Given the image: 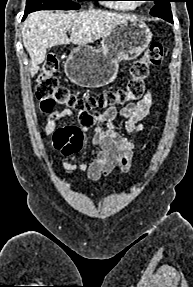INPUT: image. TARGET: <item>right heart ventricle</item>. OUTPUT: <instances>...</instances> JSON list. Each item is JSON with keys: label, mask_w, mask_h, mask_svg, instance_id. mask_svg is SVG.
Masks as SVG:
<instances>
[{"label": "right heart ventricle", "mask_w": 193, "mask_h": 287, "mask_svg": "<svg viewBox=\"0 0 193 287\" xmlns=\"http://www.w3.org/2000/svg\"><path fill=\"white\" fill-rule=\"evenodd\" d=\"M109 6L113 9L121 10V11H129L133 9V5L129 3H114V4H110Z\"/></svg>", "instance_id": "1"}]
</instances>
